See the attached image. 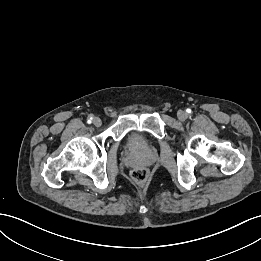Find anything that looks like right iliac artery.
<instances>
[{"instance_id":"obj_1","label":"right iliac artery","mask_w":261,"mask_h":261,"mask_svg":"<svg viewBox=\"0 0 261 261\" xmlns=\"http://www.w3.org/2000/svg\"><path fill=\"white\" fill-rule=\"evenodd\" d=\"M92 119H93V117L92 116H90L89 118H88V123L90 124L91 122H92Z\"/></svg>"}]
</instances>
